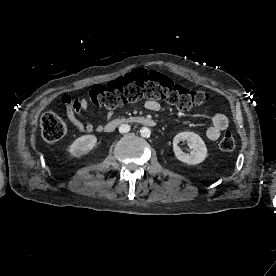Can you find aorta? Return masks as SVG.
<instances>
[{
	"instance_id": "aorta-1",
	"label": "aorta",
	"mask_w": 276,
	"mask_h": 276,
	"mask_svg": "<svg viewBox=\"0 0 276 276\" xmlns=\"http://www.w3.org/2000/svg\"><path fill=\"white\" fill-rule=\"evenodd\" d=\"M140 134H141L142 137H149L150 134H151V131H150L149 128L143 127V128H141V130H140Z\"/></svg>"
}]
</instances>
